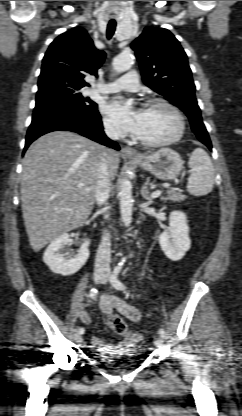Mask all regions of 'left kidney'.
Instances as JSON below:
<instances>
[{
	"label": "left kidney",
	"instance_id": "5707ae66",
	"mask_svg": "<svg viewBox=\"0 0 242 416\" xmlns=\"http://www.w3.org/2000/svg\"><path fill=\"white\" fill-rule=\"evenodd\" d=\"M159 244L170 260L178 261L183 258L191 246L185 213L181 211L170 213L169 228L159 236Z\"/></svg>",
	"mask_w": 242,
	"mask_h": 416
}]
</instances>
